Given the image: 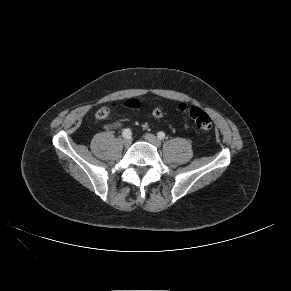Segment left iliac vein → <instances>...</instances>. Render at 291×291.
<instances>
[{"label": "left iliac vein", "instance_id": "4c4485c4", "mask_svg": "<svg viewBox=\"0 0 291 291\" xmlns=\"http://www.w3.org/2000/svg\"><path fill=\"white\" fill-rule=\"evenodd\" d=\"M144 138L157 148L161 146V141L153 134H145Z\"/></svg>", "mask_w": 291, "mask_h": 291}]
</instances>
